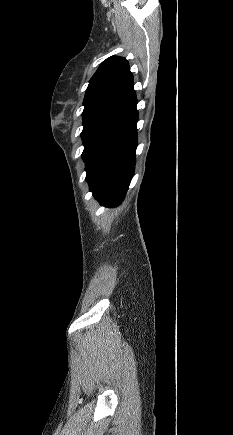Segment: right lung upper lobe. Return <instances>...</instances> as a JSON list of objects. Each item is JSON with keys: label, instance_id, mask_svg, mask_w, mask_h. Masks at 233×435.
I'll use <instances>...</instances> for the list:
<instances>
[{"label": "right lung upper lobe", "instance_id": "obj_1", "mask_svg": "<svg viewBox=\"0 0 233 435\" xmlns=\"http://www.w3.org/2000/svg\"><path fill=\"white\" fill-rule=\"evenodd\" d=\"M133 84L128 61L123 57H109L89 81L83 117L97 114L127 116L137 105Z\"/></svg>", "mask_w": 233, "mask_h": 435}]
</instances>
